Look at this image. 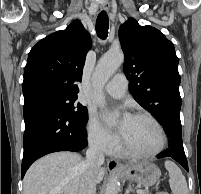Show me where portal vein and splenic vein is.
<instances>
[{"label":"portal vein and splenic vein","instance_id":"obj_1","mask_svg":"<svg viewBox=\"0 0 201 194\" xmlns=\"http://www.w3.org/2000/svg\"><path fill=\"white\" fill-rule=\"evenodd\" d=\"M136 192L137 194H144V190H141V189H138Z\"/></svg>","mask_w":201,"mask_h":194}]
</instances>
